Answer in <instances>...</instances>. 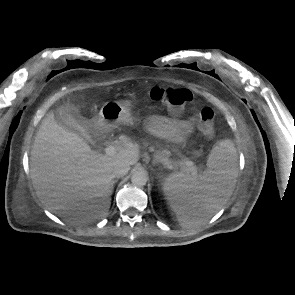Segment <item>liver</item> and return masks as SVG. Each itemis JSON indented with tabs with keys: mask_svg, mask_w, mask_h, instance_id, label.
Returning <instances> with one entry per match:
<instances>
[{
	"mask_svg": "<svg viewBox=\"0 0 295 295\" xmlns=\"http://www.w3.org/2000/svg\"><path fill=\"white\" fill-rule=\"evenodd\" d=\"M139 154V146L132 142L112 156L99 154L82 137L58 124L54 113L49 112L32 146L31 179L41 202L56 215L97 218L111 204L114 165H134Z\"/></svg>",
	"mask_w": 295,
	"mask_h": 295,
	"instance_id": "liver-1",
	"label": "liver"
}]
</instances>
